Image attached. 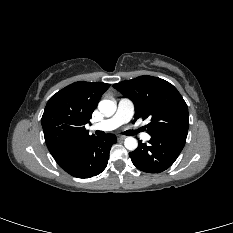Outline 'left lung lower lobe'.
Returning <instances> with one entry per match:
<instances>
[{"instance_id":"left-lung-lower-lobe-1","label":"left lung lower lobe","mask_w":233,"mask_h":233,"mask_svg":"<svg viewBox=\"0 0 233 233\" xmlns=\"http://www.w3.org/2000/svg\"><path fill=\"white\" fill-rule=\"evenodd\" d=\"M186 135L151 137L149 144L139 142L138 148L129 153L133 164L141 171L159 173L169 168L182 151Z\"/></svg>"}]
</instances>
